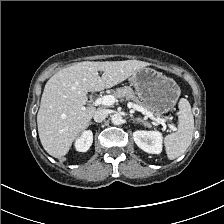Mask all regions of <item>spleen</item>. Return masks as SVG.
<instances>
[{
	"mask_svg": "<svg viewBox=\"0 0 224 224\" xmlns=\"http://www.w3.org/2000/svg\"><path fill=\"white\" fill-rule=\"evenodd\" d=\"M178 107V129L176 132L168 134L164 139L167 157L170 160L181 156L189 147L193 138L194 117L190 103L187 99L182 98Z\"/></svg>",
	"mask_w": 224,
	"mask_h": 224,
	"instance_id": "3e777b00",
	"label": "spleen"
}]
</instances>
